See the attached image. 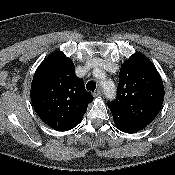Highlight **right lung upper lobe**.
<instances>
[{
  "label": "right lung upper lobe",
  "instance_id": "obj_1",
  "mask_svg": "<svg viewBox=\"0 0 175 175\" xmlns=\"http://www.w3.org/2000/svg\"><path fill=\"white\" fill-rule=\"evenodd\" d=\"M30 96L40 119L57 131H68L78 125L93 100L76 76L74 63L60 51L39 65Z\"/></svg>",
  "mask_w": 175,
  "mask_h": 175
}]
</instances>
